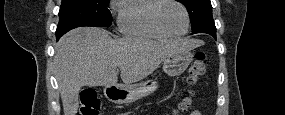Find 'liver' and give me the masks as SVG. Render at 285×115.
<instances>
[{"label":"liver","mask_w":285,"mask_h":115,"mask_svg":"<svg viewBox=\"0 0 285 115\" xmlns=\"http://www.w3.org/2000/svg\"><path fill=\"white\" fill-rule=\"evenodd\" d=\"M200 40L153 41L140 37L114 40L101 28H76L55 47L54 66L64 115H76L83 86L116 85L118 72L124 84L152 74L167 57L189 52Z\"/></svg>","instance_id":"6515ba94"}]
</instances>
